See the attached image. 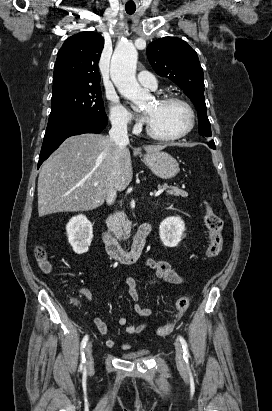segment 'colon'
I'll list each match as a JSON object with an SVG mask.
<instances>
[{"mask_svg":"<svg viewBox=\"0 0 272 411\" xmlns=\"http://www.w3.org/2000/svg\"><path fill=\"white\" fill-rule=\"evenodd\" d=\"M204 221L209 233V244L207 246L205 255L207 258L216 257L222 250L224 244L223 238V220L217 215L209 205H204ZM36 259L43 272H49L51 270V263L48 259L46 250L39 246L36 249ZM191 303V298L188 295L181 296L175 307V320L160 326L156 329V335L159 337H165L171 334L175 328L176 321L180 319L187 311Z\"/></svg>","mask_w":272,"mask_h":411,"instance_id":"1","label":"colon"}]
</instances>
